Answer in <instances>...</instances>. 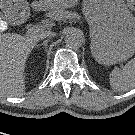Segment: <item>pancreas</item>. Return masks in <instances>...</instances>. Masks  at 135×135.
<instances>
[{
    "label": "pancreas",
    "mask_w": 135,
    "mask_h": 135,
    "mask_svg": "<svg viewBox=\"0 0 135 135\" xmlns=\"http://www.w3.org/2000/svg\"><path fill=\"white\" fill-rule=\"evenodd\" d=\"M71 13L64 10H54L47 13V17H49L52 20H62L64 18L71 17Z\"/></svg>",
    "instance_id": "1"
}]
</instances>
